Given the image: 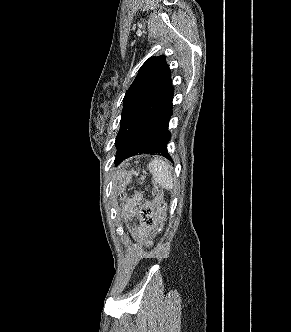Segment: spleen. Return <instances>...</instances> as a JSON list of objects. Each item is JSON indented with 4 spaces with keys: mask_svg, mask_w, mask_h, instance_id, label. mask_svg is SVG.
I'll return each mask as SVG.
<instances>
[{
    "mask_svg": "<svg viewBox=\"0 0 291 332\" xmlns=\"http://www.w3.org/2000/svg\"><path fill=\"white\" fill-rule=\"evenodd\" d=\"M154 180L165 189L173 188V176L169 163L161 158H154L149 164Z\"/></svg>",
    "mask_w": 291,
    "mask_h": 332,
    "instance_id": "1",
    "label": "spleen"
}]
</instances>
